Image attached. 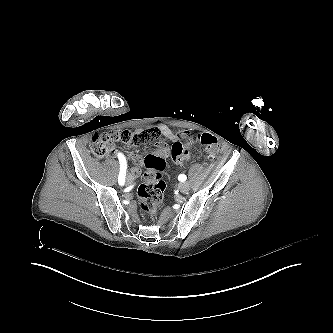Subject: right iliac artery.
Returning <instances> with one entry per match:
<instances>
[{"label":"right iliac artery","mask_w":333,"mask_h":333,"mask_svg":"<svg viewBox=\"0 0 333 333\" xmlns=\"http://www.w3.org/2000/svg\"><path fill=\"white\" fill-rule=\"evenodd\" d=\"M118 158L120 161V172H119V177H118V183L120 185H124L126 169H127L126 159H125L124 155L121 153L118 154Z\"/></svg>","instance_id":"82829eb1"}]
</instances>
